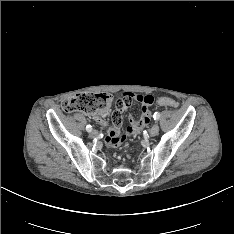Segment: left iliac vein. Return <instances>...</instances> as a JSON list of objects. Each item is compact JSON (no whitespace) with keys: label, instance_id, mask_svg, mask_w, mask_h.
I'll use <instances>...</instances> for the list:
<instances>
[{"label":"left iliac vein","instance_id":"left-iliac-vein-1","mask_svg":"<svg viewBox=\"0 0 234 234\" xmlns=\"http://www.w3.org/2000/svg\"><path fill=\"white\" fill-rule=\"evenodd\" d=\"M158 133H159V125L157 123H155L151 127L149 134H150V136L154 137V136L158 135Z\"/></svg>","mask_w":234,"mask_h":234}]
</instances>
